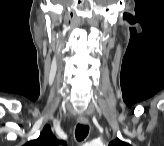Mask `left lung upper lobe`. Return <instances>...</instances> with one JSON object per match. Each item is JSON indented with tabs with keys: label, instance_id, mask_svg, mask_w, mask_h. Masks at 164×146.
Segmentation results:
<instances>
[{
	"label": "left lung upper lobe",
	"instance_id": "left-lung-upper-lobe-1",
	"mask_svg": "<svg viewBox=\"0 0 164 146\" xmlns=\"http://www.w3.org/2000/svg\"><path fill=\"white\" fill-rule=\"evenodd\" d=\"M109 146H130V145L116 138L114 141H112L109 144Z\"/></svg>",
	"mask_w": 164,
	"mask_h": 146
}]
</instances>
